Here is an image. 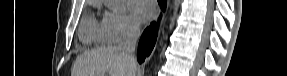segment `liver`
Returning <instances> with one entry per match:
<instances>
[{
  "label": "liver",
  "mask_w": 287,
  "mask_h": 76,
  "mask_svg": "<svg viewBox=\"0 0 287 76\" xmlns=\"http://www.w3.org/2000/svg\"><path fill=\"white\" fill-rule=\"evenodd\" d=\"M137 68L117 47H103L77 57L73 76H135Z\"/></svg>",
  "instance_id": "obj_1"
}]
</instances>
